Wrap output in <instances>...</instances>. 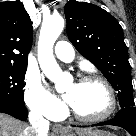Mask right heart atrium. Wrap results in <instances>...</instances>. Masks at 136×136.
I'll return each mask as SVG.
<instances>
[{"mask_svg":"<svg viewBox=\"0 0 136 136\" xmlns=\"http://www.w3.org/2000/svg\"><path fill=\"white\" fill-rule=\"evenodd\" d=\"M24 101L37 115L55 119L62 114V104L47 90L40 75L28 71L24 79Z\"/></svg>","mask_w":136,"mask_h":136,"instance_id":"obj_1","label":"right heart atrium"}]
</instances>
